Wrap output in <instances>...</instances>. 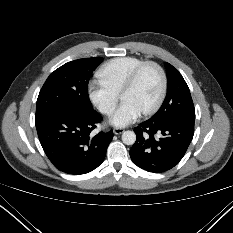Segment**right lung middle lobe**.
<instances>
[{
  "label": "right lung middle lobe",
  "mask_w": 233,
  "mask_h": 233,
  "mask_svg": "<svg viewBox=\"0 0 233 233\" xmlns=\"http://www.w3.org/2000/svg\"><path fill=\"white\" fill-rule=\"evenodd\" d=\"M103 58L71 61L56 69L44 83L36 107V117L49 112H87L93 110L88 82Z\"/></svg>",
  "instance_id": "right-lung-middle-lobe-1"
}]
</instances>
